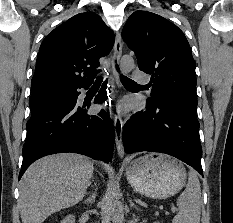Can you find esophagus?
<instances>
[{"mask_svg": "<svg viewBox=\"0 0 233 223\" xmlns=\"http://www.w3.org/2000/svg\"><path fill=\"white\" fill-rule=\"evenodd\" d=\"M122 55V39L121 34L118 32L115 37V45H114V59L120 60ZM111 76L118 81L119 79V73L116 69V67H112L111 69ZM122 127H123V121L119 114V112H116L114 115V129H115V143L116 148L119 157H124V148L122 144Z\"/></svg>", "mask_w": 233, "mask_h": 223, "instance_id": "1", "label": "esophagus"}]
</instances>
